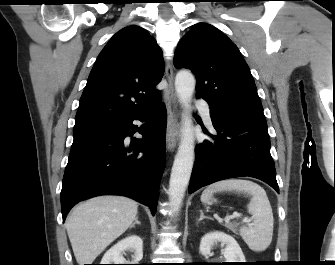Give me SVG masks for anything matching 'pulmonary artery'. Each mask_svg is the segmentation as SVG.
<instances>
[{
    "label": "pulmonary artery",
    "mask_w": 335,
    "mask_h": 265,
    "mask_svg": "<svg viewBox=\"0 0 335 265\" xmlns=\"http://www.w3.org/2000/svg\"><path fill=\"white\" fill-rule=\"evenodd\" d=\"M195 105L201 110L202 112V115L204 117V120L206 121V123L208 125H211V116H210V108L208 106V104L201 100V99H198L195 101Z\"/></svg>",
    "instance_id": "e3ab8cb5"
}]
</instances>
